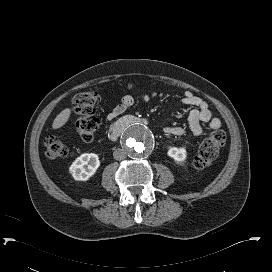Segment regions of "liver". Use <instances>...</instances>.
Returning a JSON list of instances; mask_svg holds the SVG:
<instances>
[{"label":"liver","mask_w":272,"mask_h":272,"mask_svg":"<svg viewBox=\"0 0 272 272\" xmlns=\"http://www.w3.org/2000/svg\"><path fill=\"white\" fill-rule=\"evenodd\" d=\"M71 114V110L70 108H66L64 110H62L54 119L53 124H52V128L53 129H58L61 128L62 126H64Z\"/></svg>","instance_id":"liver-1"}]
</instances>
